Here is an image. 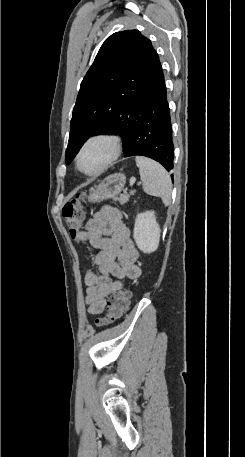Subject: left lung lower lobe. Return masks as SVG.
Listing matches in <instances>:
<instances>
[{"mask_svg": "<svg viewBox=\"0 0 245 457\" xmlns=\"http://www.w3.org/2000/svg\"><path fill=\"white\" fill-rule=\"evenodd\" d=\"M105 134L123 138L124 157L145 156L159 162L167 171L173 169L172 124L161 65L143 104L120 117Z\"/></svg>", "mask_w": 245, "mask_h": 457, "instance_id": "left-lung-lower-lobe-1", "label": "left lung lower lobe"}]
</instances>
